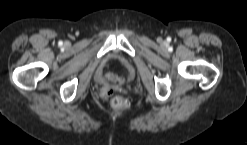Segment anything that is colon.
I'll use <instances>...</instances> for the list:
<instances>
[{
  "label": "colon",
  "mask_w": 247,
  "mask_h": 145,
  "mask_svg": "<svg viewBox=\"0 0 247 145\" xmlns=\"http://www.w3.org/2000/svg\"><path fill=\"white\" fill-rule=\"evenodd\" d=\"M113 92V89H109L108 93L112 94ZM111 105L115 109H123L126 107V101L123 98L116 96L111 99Z\"/></svg>",
  "instance_id": "5ec220e1"
}]
</instances>
